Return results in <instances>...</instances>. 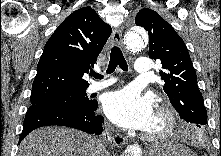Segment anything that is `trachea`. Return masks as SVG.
Here are the masks:
<instances>
[{
  "label": "trachea",
  "instance_id": "3493384b",
  "mask_svg": "<svg viewBox=\"0 0 221 156\" xmlns=\"http://www.w3.org/2000/svg\"><path fill=\"white\" fill-rule=\"evenodd\" d=\"M117 66H119L123 71H128V65L122 54V51L120 50L119 47L113 46L111 49L107 74L113 73ZM90 75L96 79H101L103 77L102 75L96 72H91Z\"/></svg>",
  "mask_w": 221,
  "mask_h": 156
}]
</instances>
